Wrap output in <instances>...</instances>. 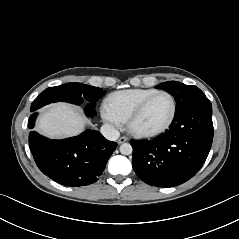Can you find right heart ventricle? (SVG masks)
<instances>
[{
  "label": "right heart ventricle",
  "instance_id": "1",
  "mask_svg": "<svg viewBox=\"0 0 239 239\" xmlns=\"http://www.w3.org/2000/svg\"><path fill=\"white\" fill-rule=\"evenodd\" d=\"M156 91L157 89L151 88H135L115 91L107 96L104 107L124 122L143 99Z\"/></svg>",
  "mask_w": 239,
  "mask_h": 239
}]
</instances>
